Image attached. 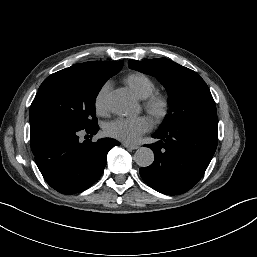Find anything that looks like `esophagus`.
<instances>
[{"mask_svg": "<svg viewBox=\"0 0 257 257\" xmlns=\"http://www.w3.org/2000/svg\"><path fill=\"white\" fill-rule=\"evenodd\" d=\"M123 146L127 149H131V150H135L138 149L139 146L138 145H132V144H127V143H123Z\"/></svg>", "mask_w": 257, "mask_h": 257, "instance_id": "1", "label": "esophagus"}]
</instances>
